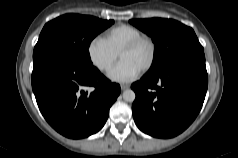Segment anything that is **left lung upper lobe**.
<instances>
[{"instance_id":"5c2ea615","label":"left lung upper lobe","mask_w":238,"mask_h":158,"mask_svg":"<svg viewBox=\"0 0 238 158\" xmlns=\"http://www.w3.org/2000/svg\"><path fill=\"white\" fill-rule=\"evenodd\" d=\"M131 24L152 37L154 59L147 73H155L175 59L194 52H204L192 28L162 18L133 19Z\"/></svg>"}]
</instances>
